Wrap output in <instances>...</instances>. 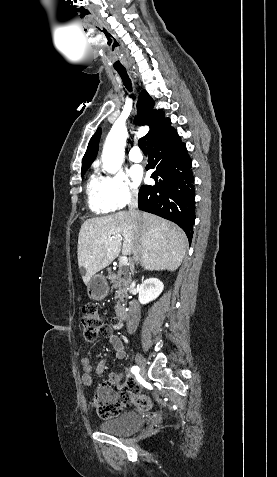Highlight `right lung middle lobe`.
I'll list each match as a JSON object with an SVG mask.
<instances>
[{
	"mask_svg": "<svg viewBox=\"0 0 277 477\" xmlns=\"http://www.w3.org/2000/svg\"><path fill=\"white\" fill-rule=\"evenodd\" d=\"M86 171H87V169H82V170H81V176H83Z\"/></svg>",
	"mask_w": 277,
	"mask_h": 477,
	"instance_id": "obj_1",
	"label": "right lung middle lobe"
}]
</instances>
